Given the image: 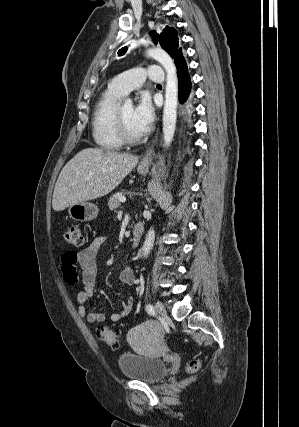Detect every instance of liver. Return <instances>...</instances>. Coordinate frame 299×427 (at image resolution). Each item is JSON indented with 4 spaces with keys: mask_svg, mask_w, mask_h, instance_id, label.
Returning <instances> with one entry per match:
<instances>
[{
    "mask_svg": "<svg viewBox=\"0 0 299 427\" xmlns=\"http://www.w3.org/2000/svg\"><path fill=\"white\" fill-rule=\"evenodd\" d=\"M138 160L137 156L110 150H81L59 174L53 192L54 211L109 194L138 164Z\"/></svg>",
    "mask_w": 299,
    "mask_h": 427,
    "instance_id": "liver-1",
    "label": "liver"
}]
</instances>
